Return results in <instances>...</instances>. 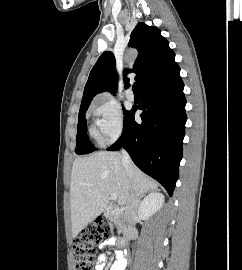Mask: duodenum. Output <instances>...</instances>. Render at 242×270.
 Segmentation results:
<instances>
[{
  "mask_svg": "<svg viewBox=\"0 0 242 270\" xmlns=\"http://www.w3.org/2000/svg\"><path fill=\"white\" fill-rule=\"evenodd\" d=\"M104 216L107 217H123L125 219H131L133 217L132 213H125L121 209L113 208V207H108L107 210L104 212ZM136 231L133 226H129L126 229V235L124 238H122L119 243L122 246H125L130 240L136 238Z\"/></svg>",
  "mask_w": 242,
  "mask_h": 270,
  "instance_id": "1",
  "label": "duodenum"
}]
</instances>
